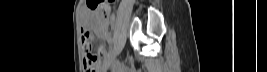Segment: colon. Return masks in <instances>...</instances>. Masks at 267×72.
Here are the masks:
<instances>
[{"label": "colon", "mask_w": 267, "mask_h": 72, "mask_svg": "<svg viewBox=\"0 0 267 72\" xmlns=\"http://www.w3.org/2000/svg\"><path fill=\"white\" fill-rule=\"evenodd\" d=\"M113 0H87L89 9L93 12L101 14L104 18H107L110 14V5ZM83 59H85L84 71L94 72L97 66L98 57L91 53L90 42H85L83 45Z\"/></svg>", "instance_id": "5ec220e1"}]
</instances>
